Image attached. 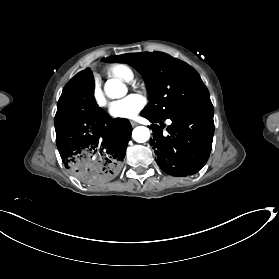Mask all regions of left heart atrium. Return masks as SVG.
Returning <instances> with one entry per match:
<instances>
[{"mask_svg":"<svg viewBox=\"0 0 279 279\" xmlns=\"http://www.w3.org/2000/svg\"><path fill=\"white\" fill-rule=\"evenodd\" d=\"M144 106L145 99L140 95L132 94L112 103L109 107V114L116 119H133Z\"/></svg>","mask_w":279,"mask_h":279,"instance_id":"left-heart-atrium-1","label":"left heart atrium"}]
</instances>
